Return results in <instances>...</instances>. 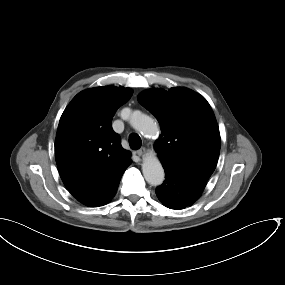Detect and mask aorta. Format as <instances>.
Instances as JSON below:
<instances>
[{
	"instance_id": "1",
	"label": "aorta",
	"mask_w": 285,
	"mask_h": 285,
	"mask_svg": "<svg viewBox=\"0 0 285 285\" xmlns=\"http://www.w3.org/2000/svg\"><path fill=\"white\" fill-rule=\"evenodd\" d=\"M122 117L128 120L135 130L146 137H152L158 133V127L154 120L140 111L128 112L125 109L122 112ZM142 172L145 180L153 186L161 185L164 181V169L155 154H150L144 158Z\"/></svg>"
}]
</instances>
